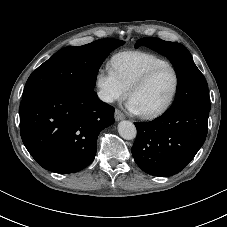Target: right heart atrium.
Here are the masks:
<instances>
[{"instance_id": "d8ad5b80", "label": "right heart atrium", "mask_w": 227, "mask_h": 227, "mask_svg": "<svg viewBox=\"0 0 227 227\" xmlns=\"http://www.w3.org/2000/svg\"><path fill=\"white\" fill-rule=\"evenodd\" d=\"M99 98L108 104L123 99L127 89L120 82L110 65L101 67L95 77Z\"/></svg>"}]
</instances>
